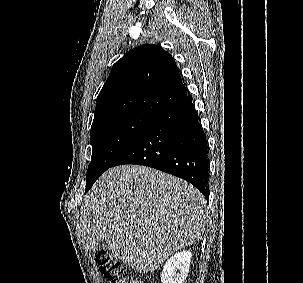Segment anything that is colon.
<instances>
[{"mask_svg": "<svg viewBox=\"0 0 303 283\" xmlns=\"http://www.w3.org/2000/svg\"><path fill=\"white\" fill-rule=\"evenodd\" d=\"M96 263L100 272L110 283H146L144 279L134 274L107 252H99Z\"/></svg>", "mask_w": 303, "mask_h": 283, "instance_id": "obj_1", "label": "colon"}]
</instances>
